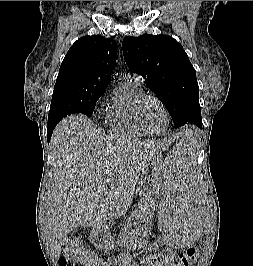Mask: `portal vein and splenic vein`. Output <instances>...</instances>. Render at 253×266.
Segmentation results:
<instances>
[{"instance_id":"18ae733b","label":"portal vein and splenic vein","mask_w":253,"mask_h":266,"mask_svg":"<svg viewBox=\"0 0 253 266\" xmlns=\"http://www.w3.org/2000/svg\"><path fill=\"white\" fill-rule=\"evenodd\" d=\"M109 181H110L109 179L106 180L107 183H108Z\"/></svg>"}]
</instances>
